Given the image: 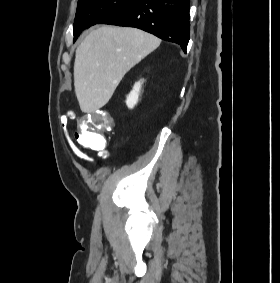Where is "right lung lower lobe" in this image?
I'll list each match as a JSON object with an SVG mask.
<instances>
[{"label":"right lung lower lobe","instance_id":"1","mask_svg":"<svg viewBox=\"0 0 280 283\" xmlns=\"http://www.w3.org/2000/svg\"><path fill=\"white\" fill-rule=\"evenodd\" d=\"M190 0H133L99 24L135 27L177 43L186 52L190 39Z\"/></svg>","mask_w":280,"mask_h":283}]
</instances>
